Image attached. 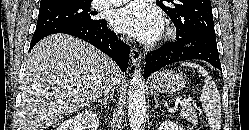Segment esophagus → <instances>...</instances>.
Listing matches in <instances>:
<instances>
[{"instance_id": "34e87169", "label": "esophagus", "mask_w": 249, "mask_h": 130, "mask_svg": "<svg viewBox=\"0 0 249 130\" xmlns=\"http://www.w3.org/2000/svg\"><path fill=\"white\" fill-rule=\"evenodd\" d=\"M131 61L134 66H139L140 61H141V52L139 51L138 48L132 47L131 48Z\"/></svg>"}]
</instances>
